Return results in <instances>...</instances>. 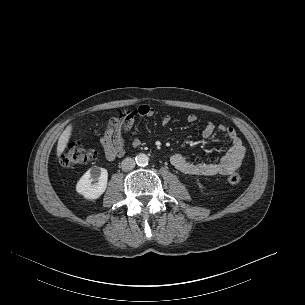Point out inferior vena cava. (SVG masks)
<instances>
[{
    "label": "inferior vena cava",
    "mask_w": 305,
    "mask_h": 305,
    "mask_svg": "<svg viewBox=\"0 0 305 305\" xmlns=\"http://www.w3.org/2000/svg\"><path fill=\"white\" fill-rule=\"evenodd\" d=\"M134 167H135V161L130 157L125 158L121 163V168L123 171L132 170Z\"/></svg>",
    "instance_id": "602c4592"
}]
</instances>
